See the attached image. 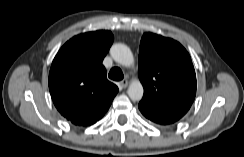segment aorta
<instances>
[{"instance_id":"aorta-1","label":"aorta","mask_w":244,"mask_h":157,"mask_svg":"<svg viewBox=\"0 0 244 157\" xmlns=\"http://www.w3.org/2000/svg\"><path fill=\"white\" fill-rule=\"evenodd\" d=\"M110 54L115 62L123 65L130 66L134 62L133 54L129 47L124 44H114L110 49ZM128 96L133 101L141 100L144 90L141 82L139 80H134L130 83L127 90Z\"/></svg>"}]
</instances>
